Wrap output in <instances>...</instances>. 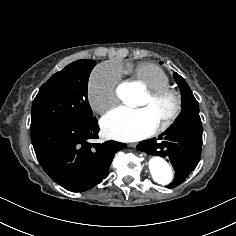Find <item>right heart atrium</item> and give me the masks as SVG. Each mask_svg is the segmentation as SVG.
Masks as SVG:
<instances>
[{"instance_id":"obj_1","label":"right heart atrium","mask_w":236,"mask_h":236,"mask_svg":"<svg viewBox=\"0 0 236 236\" xmlns=\"http://www.w3.org/2000/svg\"><path fill=\"white\" fill-rule=\"evenodd\" d=\"M119 80V72L107 64L92 71L88 80V99L94 112L102 114L116 103Z\"/></svg>"}]
</instances>
